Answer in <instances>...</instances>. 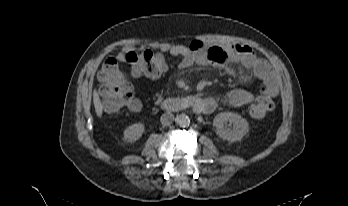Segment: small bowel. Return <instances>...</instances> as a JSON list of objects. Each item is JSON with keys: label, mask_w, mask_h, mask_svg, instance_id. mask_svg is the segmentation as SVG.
<instances>
[{"label": "small bowel", "mask_w": 348, "mask_h": 206, "mask_svg": "<svg viewBox=\"0 0 348 206\" xmlns=\"http://www.w3.org/2000/svg\"><path fill=\"white\" fill-rule=\"evenodd\" d=\"M153 47L179 57L181 70H186L196 64L210 63L226 74L236 76L237 72L230 66V63H241L256 77L264 80L271 95L275 96L278 93V80L274 69L246 44L208 45L200 41H193L189 45H183L160 42L154 44ZM120 59L124 60V56L120 55ZM253 100L254 95L241 88L232 89L224 96V102L230 106L247 105Z\"/></svg>", "instance_id": "1"}]
</instances>
